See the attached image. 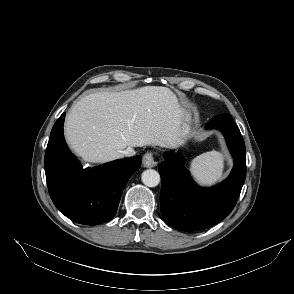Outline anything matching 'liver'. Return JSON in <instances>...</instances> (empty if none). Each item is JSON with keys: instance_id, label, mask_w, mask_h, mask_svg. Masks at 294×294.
Masks as SVG:
<instances>
[{"instance_id": "obj_1", "label": "liver", "mask_w": 294, "mask_h": 294, "mask_svg": "<svg viewBox=\"0 0 294 294\" xmlns=\"http://www.w3.org/2000/svg\"><path fill=\"white\" fill-rule=\"evenodd\" d=\"M184 112L176 95L162 86L95 92L72 107L65 137L83 161L105 163L122 158L126 147L179 146Z\"/></svg>"}]
</instances>
